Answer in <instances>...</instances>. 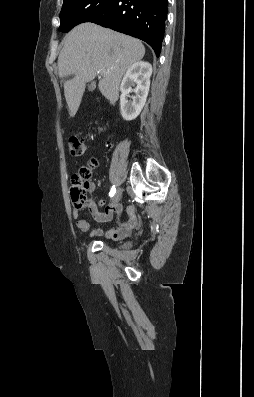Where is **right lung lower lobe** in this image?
<instances>
[{
  "instance_id": "98d812e1",
  "label": "right lung lower lobe",
  "mask_w": 254,
  "mask_h": 397,
  "mask_svg": "<svg viewBox=\"0 0 254 397\" xmlns=\"http://www.w3.org/2000/svg\"><path fill=\"white\" fill-rule=\"evenodd\" d=\"M167 0H113L89 22L147 42L160 56L167 18Z\"/></svg>"
}]
</instances>
